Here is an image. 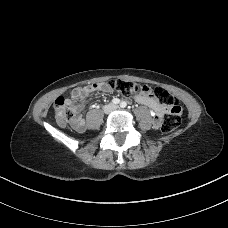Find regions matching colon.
<instances>
[{
	"instance_id": "5ec220e1",
	"label": "colon",
	"mask_w": 228,
	"mask_h": 228,
	"mask_svg": "<svg viewBox=\"0 0 228 228\" xmlns=\"http://www.w3.org/2000/svg\"><path fill=\"white\" fill-rule=\"evenodd\" d=\"M101 84L110 90H116L124 95H137L151 92L150 88L146 85L123 80H114ZM154 95L168 112L162 122L161 129L165 133L171 132L180 124L182 108L178 104L176 97L162 87L155 88ZM54 116L60 125H66L75 121V112L72 107L66 104L63 97H58L55 100Z\"/></svg>"
}]
</instances>
